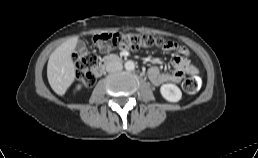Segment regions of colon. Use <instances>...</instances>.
Returning <instances> with one entry per match:
<instances>
[{"label": "colon", "mask_w": 258, "mask_h": 158, "mask_svg": "<svg viewBox=\"0 0 258 158\" xmlns=\"http://www.w3.org/2000/svg\"><path fill=\"white\" fill-rule=\"evenodd\" d=\"M95 47L101 52H107L114 48L139 49L150 48L153 46L162 47L169 50L171 42L162 37H156L148 34H123V33H101L93 39ZM97 57L87 49H80L74 55V63L77 68V79L85 86H91L94 79L91 68L96 64ZM183 90L186 93L194 94L201 87L199 77L191 76L182 83Z\"/></svg>", "instance_id": "5ec220e1"}]
</instances>
